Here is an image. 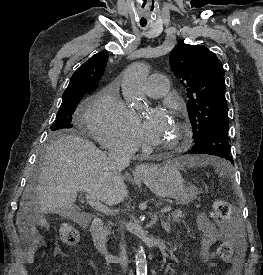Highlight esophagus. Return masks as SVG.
<instances>
[{
  "mask_svg": "<svg viewBox=\"0 0 263 275\" xmlns=\"http://www.w3.org/2000/svg\"><path fill=\"white\" fill-rule=\"evenodd\" d=\"M151 168L152 167L149 164L143 163V164H139L136 166L135 172L138 175H143V174L147 173L148 171H150Z\"/></svg>",
  "mask_w": 263,
  "mask_h": 275,
  "instance_id": "34e87169",
  "label": "esophagus"
}]
</instances>
